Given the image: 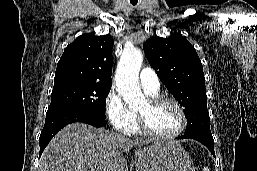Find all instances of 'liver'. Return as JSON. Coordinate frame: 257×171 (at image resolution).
Instances as JSON below:
<instances>
[{
  "label": "liver",
  "instance_id": "6515ba94",
  "mask_svg": "<svg viewBox=\"0 0 257 171\" xmlns=\"http://www.w3.org/2000/svg\"><path fill=\"white\" fill-rule=\"evenodd\" d=\"M148 142L72 123L60 130L44 150L41 171H128L125 154Z\"/></svg>",
  "mask_w": 257,
  "mask_h": 171
}]
</instances>
